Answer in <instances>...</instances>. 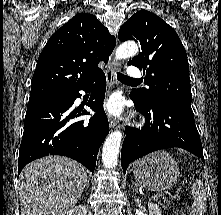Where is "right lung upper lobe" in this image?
<instances>
[{"label":"right lung upper lobe","instance_id":"1","mask_svg":"<svg viewBox=\"0 0 221 215\" xmlns=\"http://www.w3.org/2000/svg\"><path fill=\"white\" fill-rule=\"evenodd\" d=\"M114 36L91 14L79 13L59 28L42 50L32 78L30 102L58 96L91 80L108 61Z\"/></svg>","mask_w":221,"mask_h":215}]
</instances>
